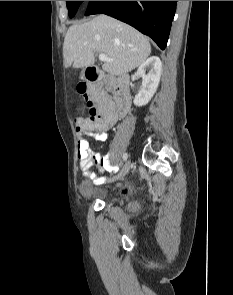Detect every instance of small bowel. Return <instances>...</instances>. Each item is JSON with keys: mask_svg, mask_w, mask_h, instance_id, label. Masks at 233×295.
Wrapping results in <instances>:
<instances>
[{"mask_svg": "<svg viewBox=\"0 0 233 295\" xmlns=\"http://www.w3.org/2000/svg\"><path fill=\"white\" fill-rule=\"evenodd\" d=\"M97 104L103 118L93 127L77 131L80 134L89 133L98 141H105L107 138V131L117 123L120 113L117 109L116 101H114L107 92H103L100 95L97 100ZM77 156L81 172L86 177H90L96 184L104 183L107 178L104 176H98L96 173L91 172L90 169L92 165L99 166L100 174H103L105 171L116 172L118 169L116 165L110 163L109 153L100 154L94 152L90 148L88 139L82 135L78 138Z\"/></svg>", "mask_w": 233, "mask_h": 295, "instance_id": "c3829d8e", "label": "small bowel"}]
</instances>
